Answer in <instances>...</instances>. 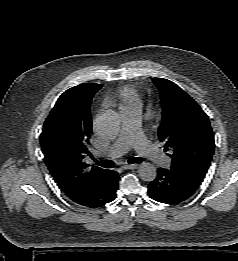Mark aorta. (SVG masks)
I'll use <instances>...</instances> for the list:
<instances>
[{
	"instance_id": "762f6f07",
	"label": "aorta",
	"mask_w": 238,
	"mask_h": 261,
	"mask_svg": "<svg viewBox=\"0 0 238 261\" xmlns=\"http://www.w3.org/2000/svg\"><path fill=\"white\" fill-rule=\"evenodd\" d=\"M120 117L115 112H106L96 120V132L104 138H114L120 130ZM138 175L143 181L151 182L156 178L157 172L153 164L145 162L141 164Z\"/></svg>"
}]
</instances>
